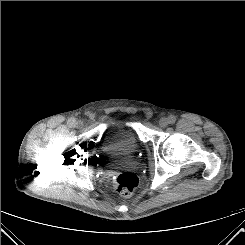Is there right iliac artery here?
<instances>
[{
  "mask_svg": "<svg viewBox=\"0 0 245 245\" xmlns=\"http://www.w3.org/2000/svg\"><path fill=\"white\" fill-rule=\"evenodd\" d=\"M67 124L69 127H74L76 125V119L75 118L69 119Z\"/></svg>",
  "mask_w": 245,
  "mask_h": 245,
  "instance_id": "82829eb1",
  "label": "right iliac artery"
}]
</instances>
